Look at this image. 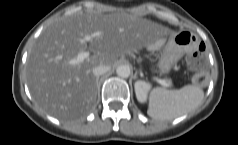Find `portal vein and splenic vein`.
<instances>
[{
	"mask_svg": "<svg viewBox=\"0 0 238 145\" xmlns=\"http://www.w3.org/2000/svg\"><path fill=\"white\" fill-rule=\"evenodd\" d=\"M92 38V36H86L85 40L89 41ZM87 57H89V52H81L77 55L76 58H73L71 60L68 61L69 65H76L78 63L83 62ZM158 83H160L163 86L169 87L170 83L163 80V79H156Z\"/></svg>",
	"mask_w": 238,
	"mask_h": 145,
	"instance_id": "obj_1",
	"label": "portal vein and splenic vein"
}]
</instances>
